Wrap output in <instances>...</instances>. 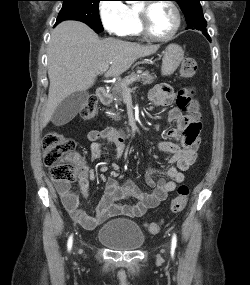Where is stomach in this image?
<instances>
[{
	"mask_svg": "<svg viewBox=\"0 0 250 285\" xmlns=\"http://www.w3.org/2000/svg\"><path fill=\"white\" fill-rule=\"evenodd\" d=\"M184 58V51L182 47L177 44H170L163 52L161 74L163 76L172 75L179 67Z\"/></svg>",
	"mask_w": 250,
	"mask_h": 285,
	"instance_id": "0dacf381",
	"label": "stomach"
}]
</instances>
